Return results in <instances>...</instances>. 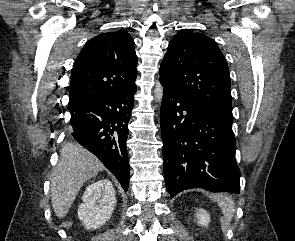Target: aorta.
<instances>
[{"label":"aorta","instance_id":"762f6f07","mask_svg":"<svg viewBox=\"0 0 295 241\" xmlns=\"http://www.w3.org/2000/svg\"><path fill=\"white\" fill-rule=\"evenodd\" d=\"M154 97L157 103H161L163 99V86L157 82L155 89H154Z\"/></svg>","mask_w":295,"mask_h":241}]
</instances>
